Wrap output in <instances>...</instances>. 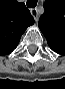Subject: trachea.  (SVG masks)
Segmentation results:
<instances>
[{
  "mask_svg": "<svg viewBox=\"0 0 65 89\" xmlns=\"http://www.w3.org/2000/svg\"><path fill=\"white\" fill-rule=\"evenodd\" d=\"M37 2H38L37 0H27L26 5L28 8H35L37 5Z\"/></svg>",
  "mask_w": 65,
  "mask_h": 89,
  "instance_id": "trachea-1",
  "label": "trachea"
}]
</instances>
